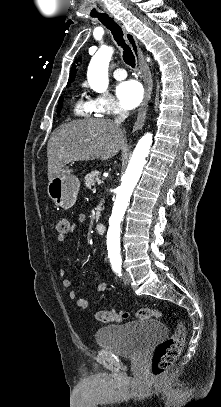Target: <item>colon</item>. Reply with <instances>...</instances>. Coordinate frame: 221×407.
Listing matches in <instances>:
<instances>
[{
  "instance_id": "colon-1",
  "label": "colon",
  "mask_w": 221,
  "mask_h": 407,
  "mask_svg": "<svg viewBox=\"0 0 221 407\" xmlns=\"http://www.w3.org/2000/svg\"><path fill=\"white\" fill-rule=\"evenodd\" d=\"M57 233L65 236L69 233V221L65 217L58 219L56 224ZM128 312L116 311L114 309L100 310L96 314L97 320L103 323H115L129 317ZM162 316L161 312L154 308H141L135 312L138 320L157 319ZM186 335L183 324L177 323L174 334L158 344L152 359V374L154 376L163 375L179 356Z\"/></svg>"
}]
</instances>
